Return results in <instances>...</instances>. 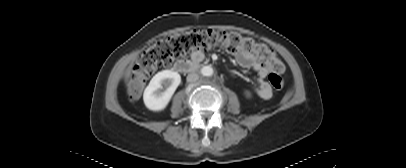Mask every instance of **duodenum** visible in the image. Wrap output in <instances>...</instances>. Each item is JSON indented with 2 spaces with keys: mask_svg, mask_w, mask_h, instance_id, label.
<instances>
[{
  "mask_svg": "<svg viewBox=\"0 0 406 168\" xmlns=\"http://www.w3.org/2000/svg\"><path fill=\"white\" fill-rule=\"evenodd\" d=\"M200 66V61L180 60L174 64V69L180 73H189Z\"/></svg>",
  "mask_w": 406,
  "mask_h": 168,
  "instance_id": "duodenum-1",
  "label": "duodenum"
}]
</instances>
